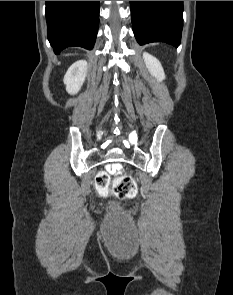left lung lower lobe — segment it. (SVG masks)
Segmentation results:
<instances>
[{"label":"left lung lower lobe","mask_w":233,"mask_h":295,"mask_svg":"<svg viewBox=\"0 0 233 295\" xmlns=\"http://www.w3.org/2000/svg\"><path fill=\"white\" fill-rule=\"evenodd\" d=\"M137 42H165L178 47L183 28V1H130Z\"/></svg>","instance_id":"0a47b994"}]
</instances>
